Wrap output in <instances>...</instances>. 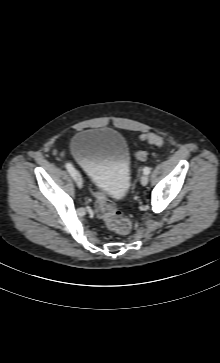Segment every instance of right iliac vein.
<instances>
[{"label":"right iliac vein","instance_id":"obj_1","mask_svg":"<svg viewBox=\"0 0 220 363\" xmlns=\"http://www.w3.org/2000/svg\"><path fill=\"white\" fill-rule=\"evenodd\" d=\"M75 180H76V184H77V186L79 187V188H81L82 186H83V179H82V177H81V175H80V173L79 172H75Z\"/></svg>","mask_w":220,"mask_h":363}]
</instances>
